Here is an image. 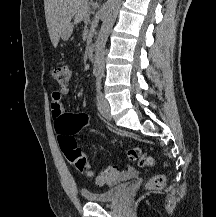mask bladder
Wrapping results in <instances>:
<instances>
[{"instance_id": "1", "label": "bladder", "mask_w": 216, "mask_h": 217, "mask_svg": "<svg viewBox=\"0 0 216 217\" xmlns=\"http://www.w3.org/2000/svg\"><path fill=\"white\" fill-rule=\"evenodd\" d=\"M129 188L128 183L117 184L105 191H83V198L90 203L107 204L118 201Z\"/></svg>"}]
</instances>
